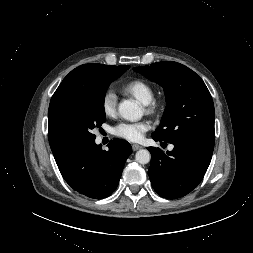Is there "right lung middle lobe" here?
I'll use <instances>...</instances> for the list:
<instances>
[{"mask_svg":"<svg viewBox=\"0 0 253 253\" xmlns=\"http://www.w3.org/2000/svg\"><path fill=\"white\" fill-rule=\"evenodd\" d=\"M129 68V67H128ZM100 76L92 88L65 92L49 106V126L59 142L66 147L95 140L92 134L106 120L104 98L109 84L123 74Z\"/></svg>","mask_w":253,"mask_h":253,"instance_id":"right-lung-middle-lobe-1","label":"right lung middle lobe"}]
</instances>
